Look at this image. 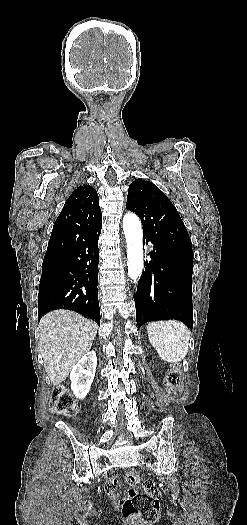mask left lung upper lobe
I'll use <instances>...</instances> for the list:
<instances>
[{"label": "left lung upper lobe", "instance_id": "left-lung-upper-lobe-1", "mask_svg": "<svg viewBox=\"0 0 247 525\" xmlns=\"http://www.w3.org/2000/svg\"><path fill=\"white\" fill-rule=\"evenodd\" d=\"M126 208L141 219L143 233L162 239L193 262L191 240L178 211L153 183L141 178L133 181Z\"/></svg>", "mask_w": 247, "mask_h": 525}]
</instances>
